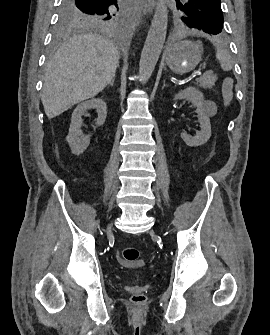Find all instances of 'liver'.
Listing matches in <instances>:
<instances>
[{
	"mask_svg": "<svg viewBox=\"0 0 270 335\" xmlns=\"http://www.w3.org/2000/svg\"><path fill=\"white\" fill-rule=\"evenodd\" d=\"M118 60L115 44L98 34H79L62 44L46 64L41 100L47 118L102 92L114 78Z\"/></svg>",
	"mask_w": 270,
	"mask_h": 335,
	"instance_id": "6515ba94",
	"label": "liver"
}]
</instances>
